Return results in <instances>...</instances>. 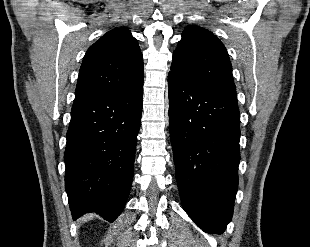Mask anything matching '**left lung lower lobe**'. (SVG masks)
Wrapping results in <instances>:
<instances>
[{
    "mask_svg": "<svg viewBox=\"0 0 310 247\" xmlns=\"http://www.w3.org/2000/svg\"><path fill=\"white\" fill-rule=\"evenodd\" d=\"M169 126L184 210L205 232L231 221L240 161L236 94L169 72Z\"/></svg>",
    "mask_w": 310,
    "mask_h": 247,
    "instance_id": "left-lung-lower-lobe-1",
    "label": "left lung lower lobe"
}]
</instances>
